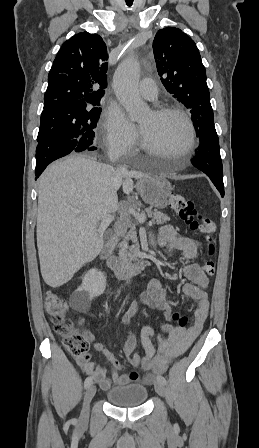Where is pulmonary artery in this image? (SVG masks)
Wrapping results in <instances>:
<instances>
[{"mask_svg":"<svg viewBox=\"0 0 259 448\" xmlns=\"http://www.w3.org/2000/svg\"><path fill=\"white\" fill-rule=\"evenodd\" d=\"M150 82V85H149ZM137 91L140 95L148 99H155L158 95V90L156 86V82L150 79H142L140 80Z\"/></svg>","mask_w":259,"mask_h":448,"instance_id":"e3ab8cb5","label":"pulmonary artery"}]
</instances>
